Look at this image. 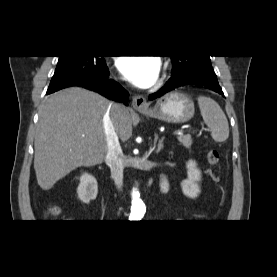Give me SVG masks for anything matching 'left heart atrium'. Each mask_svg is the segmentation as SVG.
<instances>
[{
	"instance_id": "obj_1",
	"label": "left heart atrium",
	"mask_w": 277,
	"mask_h": 277,
	"mask_svg": "<svg viewBox=\"0 0 277 277\" xmlns=\"http://www.w3.org/2000/svg\"><path fill=\"white\" fill-rule=\"evenodd\" d=\"M117 68L122 76L137 87L146 88L154 84L159 71L160 62L155 57H120Z\"/></svg>"
}]
</instances>
